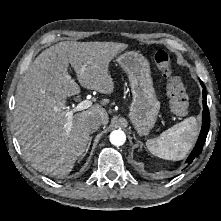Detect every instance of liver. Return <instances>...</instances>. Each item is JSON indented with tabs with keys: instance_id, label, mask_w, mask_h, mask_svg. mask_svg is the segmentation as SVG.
<instances>
[{
	"instance_id": "obj_1",
	"label": "liver",
	"mask_w": 221,
	"mask_h": 221,
	"mask_svg": "<svg viewBox=\"0 0 221 221\" xmlns=\"http://www.w3.org/2000/svg\"><path fill=\"white\" fill-rule=\"evenodd\" d=\"M128 47L115 42H59L41 52L16 88L14 129L22 151L32 166L44 173L69 174L78 157L85 156L90 140L87 121L98 116L109 121L103 108L109 100L72 116L67 132L66 99L80 93L68 73L70 64L80 85L111 94L114 82L109 63Z\"/></svg>"
}]
</instances>
